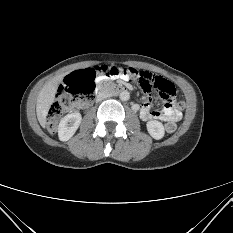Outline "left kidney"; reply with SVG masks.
<instances>
[{
    "mask_svg": "<svg viewBox=\"0 0 233 233\" xmlns=\"http://www.w3.org/2000/svg\"><path fill=\"white\" fill-rule=\"evenodd\" d=\"M148 133L156 140L163 138L165 131L161 122L156 120H150L146 124Z\"/></svg>",
    "mask_w": 233,
    "mask_h": 233,
    "instance_id": "obj_1",
    "label": "left kidney"
}]
</instances>
